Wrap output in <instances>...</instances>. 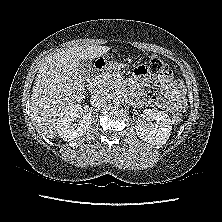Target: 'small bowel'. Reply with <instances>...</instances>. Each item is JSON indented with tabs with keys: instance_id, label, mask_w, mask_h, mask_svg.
<instances>
[{
	"instance_id": "obj_1",
	"label": "small bowel",
	"mask_w": 222,
	"mask_h": 222,
	"mask_svg": "<svg viewBox=\"0 0 222 222\" xmlns=\"http://www.w3.org/2000/svg\"><path fill=\"white\" fill-rule=\"evenodd\" d=\"M134 75L135 81L133 82V89L140 90L138 81L142 79L154 85L160 84L162 94H156L150 97L148 101L150 104L170 112H178L185 108L186 103L183 97V87L181 84L173 81L169 70H165L156 75L150 72L143 75L134 72ZM136 101L138 104H142L143 96L138 94Z\"/></svg>"
}]
</instances>
